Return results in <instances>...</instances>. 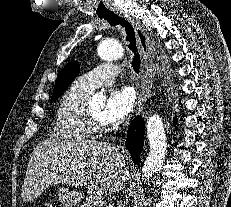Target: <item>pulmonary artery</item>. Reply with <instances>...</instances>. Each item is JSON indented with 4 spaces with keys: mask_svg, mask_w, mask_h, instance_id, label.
I'll return each instance as SVG.
<instances>
[{
    "mask_svg": "<svg viewBox=\"0 0 231 207\" xmlns=\"http://www.w3.org/2000/svg\"><path fill=\"white\" fill-rule=\"evenodd\" d=\"M118 73L119 70L115 65L103 63L79 76L75 84L79 89L91 93L98 87L112 84Z\"/></svg>",
    "mask_w": 231,
    "mask_h": 207,
    "instance_id": "obj_1",
    "label": "pulmonary artery"
}]
</instances>
